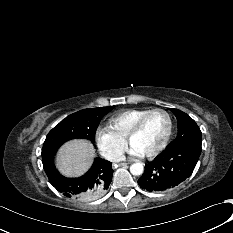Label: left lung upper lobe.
Returning <instances> with one entry per match:
<instances>
[{
  "label": "left lung upper lobe",
  "mask_w": 233,
  "mask_h": 233,
  "mask_svg": "<svg viewBox=\"0 0 233 233\" xmlns=\"http://www.w3.org/2000/svg\"><path fill=\"white\" fill-rule=\"evenodd\" d=\"M174 113L178 122V134L175 140L167 147L186 146L201 147L202 136L201 131L196 122L181 110L170 108Z\"/></svg>",
  "instance_id": "left-lung-upper-lobe-1"
}]
</instances>
